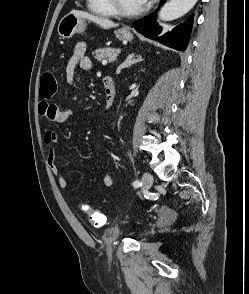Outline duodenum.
<instances>
[{
	"instance_id": "duodenum-1",
	"label": "duodenum",
	"mask_w": 249,
	"mask_h": 294,
	"mask_svg": "<svg viewBox=\"0 0 249 294\" xmlns=\"http://www.w3.org/2000/svg\"><path fill=\"white\" fill-rule=\"evenodd\" d=\"M103 84L105 90L104 110L107 111L114 102L116 87L114 81L108 76L103 78Z\"/></svg>"
}]
</instances>
